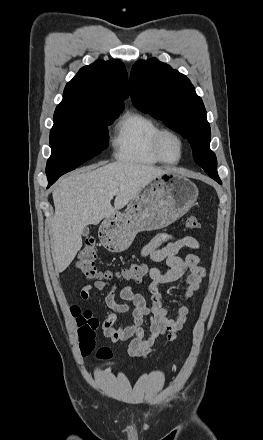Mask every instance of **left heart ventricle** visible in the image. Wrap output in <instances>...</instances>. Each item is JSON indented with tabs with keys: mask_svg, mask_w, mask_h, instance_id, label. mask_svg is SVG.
<instances>
[{
	"mask_svg": "<svg viewBox=\"0 0 263 440\" xmlns=\"http://www.w3.org/2000/svg\"><path fill=\"white\" fill-rule=\"evenodd\" d=\"M161 149L166 159L174 161L179 157L180 145L176 138L165 135L161 142Z\"/></svg>",
	"mask_w": 263,
	"mask_h": 440,
	"instance_id": "left-heart-ventricle-1",
	"label": "left heart ventricle"
}]
</instances>
